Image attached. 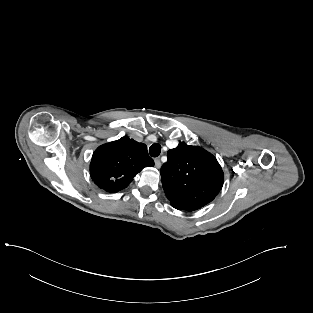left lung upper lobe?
<instances>
[{"mask_svg":"<svg viewBox=\"0 0 313 313\" xmlns=\"http://www.w3.org/2000/svg\"><path fill=\"white\" fill-rule=\"evenodd\" d=\"M160 174L171 205L193 211L211 202L223 186L224 174L216 158L199 146L184 142L167 152Z\"/></svg>","mask_w":313,"mask_h":313,"instance_id":"left-lung-upper-lobe-1","label":"left lung upper lobe"}]
</instances>
